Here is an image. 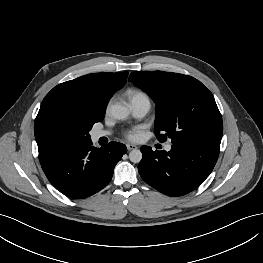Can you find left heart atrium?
<instances>
[{
    "instance_id": "left-heart-atrium-1",
    "label": "left heart atrium",
    "mask_w": 263,
    "mask_h": 263,
    "mask_svg": "<svg viewBox=\"0 0 263 263\" xmlns=\"http://www.w3.org/2000/svg\"><path fill=\"white\" fill-rule=\"evenodd\" d=\"M127 138H129L130 140H135L138 136L137 131L136 130H130L126 133Z\"/></svg>"
}]
</instances>
